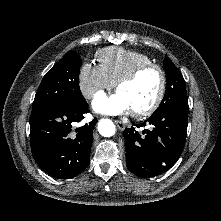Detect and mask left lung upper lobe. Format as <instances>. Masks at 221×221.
<instances>
[{
    "label": "left lung upper lobe",
    "mask_w": 221,
    "mask_h": 221,
    "mask_svg": "<svg viewBox=\"0 0 221 221\" xmlns=\"http://www.w3.org/2000/svg\"><path fill=\"white\" fill-rule=\"evenodd\" d=\"M164 68L167 80L166 91L163 101L154 113L162 112L178 102L187 101L183 76L168 57L164 59Z\"/></svg>",
    "instance_id": "obj_1"
}]
</instances>
